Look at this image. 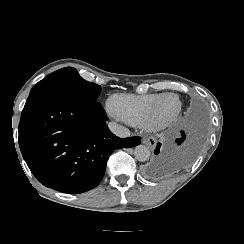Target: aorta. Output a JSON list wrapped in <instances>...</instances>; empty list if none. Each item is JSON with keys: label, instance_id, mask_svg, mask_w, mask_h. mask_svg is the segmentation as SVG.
Returning <instances> with one entry per match:
<instances>
[{"label": "aorta", "instance_id": "1", "mask_svg": "<svg viewBox=\"0 0 244 244\" xmlns=\"http://www.w3.org/2000/svg\"><path fill=\"white\" fill-rule=\"evenodd\" d=\"M134 157L138 161L145 162L150 158V150L145 145H138L134 149Z\"/></svg>", "mask_w": 244, "mask_h": 244}]
</instances>
